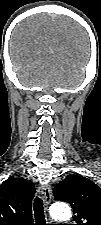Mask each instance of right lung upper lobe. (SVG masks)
<instances>
[{
    "mask_svg": "<svg viewBox=\"0 0 101 225\" xmlns=\"http://www.w3.org/2000/svg\"><path fill=\"white\" fill-rule=\"evenodd\" d=\"M35 187L22 178H10L0 185V225H32Z\"/></svg>",
    "mask_w": 101,
    "mask_h": 225,
    "instance_id": "cb5924a9",
    "label": "right lung upper lobe"
}]
</instances>
